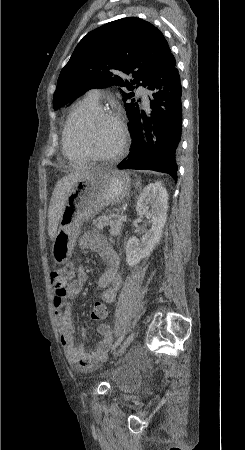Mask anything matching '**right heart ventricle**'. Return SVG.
Wrapping results in <instances>:
<instances>
[{"instance_id": "e07e8e85", "label": "right heart ventricle", "mask_w": 245, "mask_h": 450, "mask_svg": "<svg viewBox=\"0 0 245 450\" xmlns=\"http://www.w3.org/2000/svg\"><path fill=\"white\" fill-rule=\"evenodd\" d=\"M99 109V103L93 101L88 96L77 101L70 110L69 116L64 126L62 135V151L70 160L85 162L89 158L76 147L73 141L72 126L76 121L82 120L92 111Z\"/></svg>"}]
</instances>
